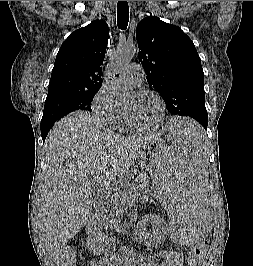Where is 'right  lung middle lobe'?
Returning a JSON list of instances; mask_svg holds the SVG:
<instances>
[{"label": "right lung middle lobe", "mask_w": 253, "mask_h": 266, "mask_svg": "<svg viewBox=\"0 0 253 266\" xmlns=\"http://www.w3.org/2000/svg\"><path fill=\"white\" fill-rule=\"evenodd\" d=\"M99 89L63 90L48 94L41 120V129L52 128L56 121L70 112L91 111V102Z\"/></svg>", "instance_id": "obj_1"}]
</instances>
